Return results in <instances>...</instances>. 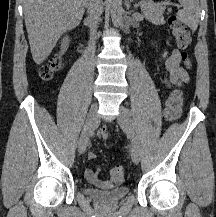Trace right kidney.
Masks as SVG:
<instances>
[{"label":"right kidney","instance_id":"1","mask_svg":"<svg viewBox=\"0 0 216 217\" xmlns=\"http://www.w3.org/2000/svg\"><path fill=\"white\" fill-rule=\"evenodd\" d=\"M69 37H64L61 42V54H64L69 46Z\"/></svg>","mask_w":216,"mask_h":217}]
</instances>
